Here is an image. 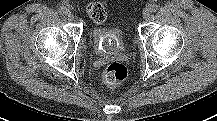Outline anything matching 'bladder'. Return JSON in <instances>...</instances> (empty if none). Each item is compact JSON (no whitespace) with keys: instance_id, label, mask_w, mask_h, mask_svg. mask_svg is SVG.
<instances>
[{"instance_id":"obj_1","label":"bladder","mask_w":217,"mask_h":121,"mask_svg":"<svg viewBox=\"0 0 217 121\" xmlns=\"http://www.w3.org/2000/svg\"><path fill=\"white\" fill-rule=\"evenodd\" d=\"M94 51L98 55L112 56L121 53L125 49L124 32L119 26L107 29L97 27L91 34Z\"/></svg>"}]
</instances>
